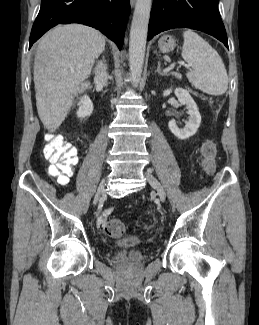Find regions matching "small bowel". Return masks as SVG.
I'll use <instances>...</instances> for the list:
<instances>
[{
  "mask_svg": "<svg viewBox=\"0 0 259 325\" xmlns=\"http://www.w3.org/2000/svg\"><path fill=\"white\" fill-rule=\"evenodd\" d=\"M108 212L102 214L97 221V225L101 230H104L106 221H107Z\"/></svg>",
  "mask_w": 259,
  "mask_h": 325,
  "instance_id": "small-bowel-1",
  "label": "small bowel"
}]
</instances>
